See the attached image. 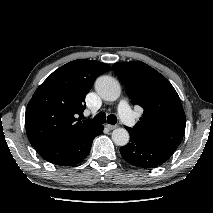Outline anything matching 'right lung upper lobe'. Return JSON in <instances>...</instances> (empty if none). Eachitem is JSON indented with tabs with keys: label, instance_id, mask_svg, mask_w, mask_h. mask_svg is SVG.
I'll list each match as a JSON object with an SVG mask.
<instances>
[{
	"label": "right lung upper lobe",
	"instance_id": "cb5924a9",
	"mask_svg": "<svg viewBox=\"0 0 213 213\" xmlns=\"http://www.w3.org/2000/svg\"><path fill=\"white\" fill-rule=\"evenodd\" d=\"M105 63L78 59L54 71L27 105L25 125L32 146L69 143L98 124L77 119L95 79L110 71Z\"/></svg>",
	"mask_w": 213,
	"mask_h": 213
}]
</instances>
